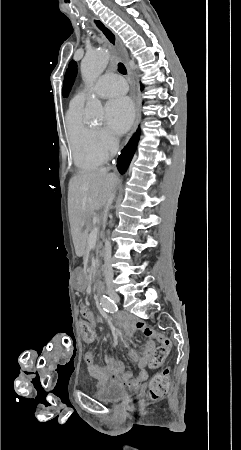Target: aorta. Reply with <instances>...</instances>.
Listing matches in <instances>:
<instances>
[{
    "instance_id": "1",
    "label": "aorta",
    "mask_w": 241,
    "mask_h": 450,
    "mask_svg": "<svg viewBox=\"0 0 241 450\" xmlns=\"http://www.w3.org/2000/svg\"><path fill=\"white\" fill-rule=\"evenodd\" d=\"M109 53L106 49H97L84 57L81 62V75L89 83L98 78L106 68ZM86 119L90 122H101L104 117L103 106L99 99L92 98L86 104Z\"/></svg>"
}]
</instances>
